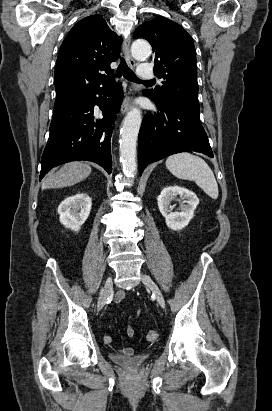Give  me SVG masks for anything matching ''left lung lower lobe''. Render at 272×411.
<instances>
[{
  "label": "left lung lower lobe",
  "mask_w": 272,
  "mask_h": 411,
  "mask_svg": "<svg viewBox=\"0 0 272 411\" xmlns=\"http://www.w3.org/2000/svg\"><path fill=\"white\" fill-rule=\"evenodd\" d=\"M144 95L148 96L146 93ZM152 100L160 114H146L139 131L140 175L149 163L180 152L195 151L213 157L199 112Z\"/></svg>",
  "instance_id": "obj_1"
}]
</instances>
